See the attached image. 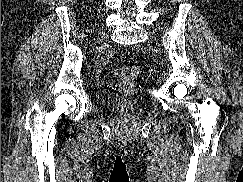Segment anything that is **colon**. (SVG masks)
Here are the masks:
<instances>
[{
	"mask_svg": "<svg viewBox=\"0 0 243 182\" xmlns=\"http://www.w3.org/2000/svg\"><path fill=\"white\" fill-rule=\"evenodd\" d=\"M114 73L119 79L130 81L138 76L139 70L136 67L124 66L117 68Z\"/></svg>",
	"mask_w": 243,
	"mask_h": 182,
	"instance_id": "1",
	"label": "colon"
}]
</instances>
